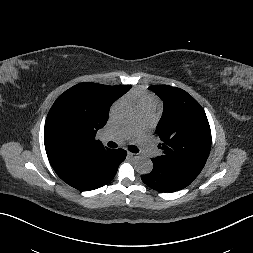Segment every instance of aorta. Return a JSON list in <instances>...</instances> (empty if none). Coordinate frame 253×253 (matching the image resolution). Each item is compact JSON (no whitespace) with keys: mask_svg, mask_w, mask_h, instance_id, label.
<instances>
[{"mask_svg":"<svg viewBox=\"0 0 253 253\" xmlns=\"http://www.w3.org/2000/svg\"><path fill=\"white\" fill-rule=\"evenodd\" d=\"M134 107L127 102L119 103L113 110V118L118 123H126L132 119ZM153 169V162L146 157H140L135 161V170L141 174H149Z\"/></svg>","mask_w":253,"mask_h":253,"instance_id":"1","label":"aorta"}]
</instances>
